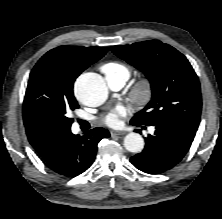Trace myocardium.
Segmentation results:
<instances>
[{"instance_id":"1","label":"myocardium","mask_w":222,"mask_h":219,"mask_svg":"<svg viewBox=\"0 0 222 219\" xmlns=\"http://www.w3.org/2000/svg\"><path fill=\"white\" fill-rule=\"evenodd\" d=\"M152 93V81L148 77H143L135 83L131 97L138 104H146L151 99Z\"/></svg>"}]
</instances>
